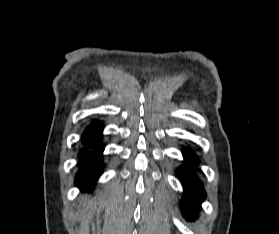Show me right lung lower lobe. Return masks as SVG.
<instances>
[{"mask_svg": "<svg viewBox=\"0 0 279 234\" xmlns=\"http://www.w3.org/2000/svg\"><path fill=\"white\" fill-rule=\"evenodd\" d=\"M103 125L94 121L90 124L83 135L84 148L80 150L79 172L76 175V185L83 190H91L95 180L102 172L101 154L103 145L101 143V133Z\"/></svg>", "mask_w": 279, "mask_h": 234, "instance_id": "98d812e1", "label": "right lung lower lobe"}]
</instances>
